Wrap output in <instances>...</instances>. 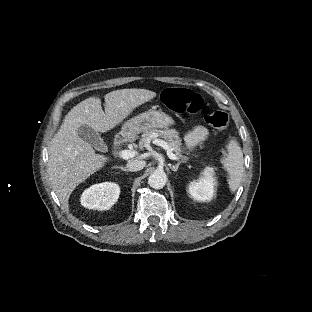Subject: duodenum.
Returning <instances> with one entry per match:
<instances>
[{"label":"duodenum","mask_w":312,"mask_h":312,"mask_svg":"<svg viewBox=\"0 0 312 312\" xmlns=\"http://www.w3.org/2000/svg\"><path fill=\"white\" fill-rule=\"evenodd\" d=\"M133 134L129 131H124L120 134H118V136L116 137V143L119 146H124L125 144H127L129 141H131L133 139Z\"/></svg>","instance_id":"obj_1"}]
</instances>
